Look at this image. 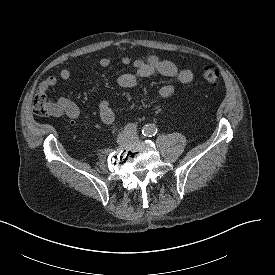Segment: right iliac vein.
Here are the masks:
<instances>
[{"mask_svg":"<svg viewBox=\"0 0 275 275\" xmlns=\"http://www.w3.org/2000/svg\"><path fill=\"white\" fill-rule=\"evenodd\" d=\"M125 140H127V135H126V134H122V135L119 137V141H120V142H123V141H125Z\"/></svg>","mask_w":275,"mask_h":275,"instance_id":"obj_1","label":"right iliac vein"}]
</instances>
